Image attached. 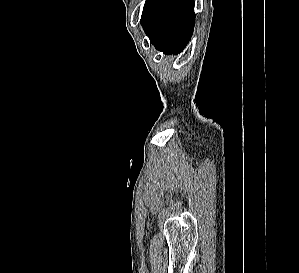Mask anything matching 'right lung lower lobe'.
Instances as JSON below:
<instances>
[{"label": "right lung lower lobe", "mask_w": 299, "mask_h": 273, "mask_svg": "<svg viewBox=\"0 0 299 273\" xmlns=\"http://www.w3.org/2000/svg\"><path fill=\"white\" fill-rule=\"evenodd\" d=\"M141 23L158 50L178 53L193 34L194 0H146Z\"/></svg>", "instance_id": "1"}]
</instances>
